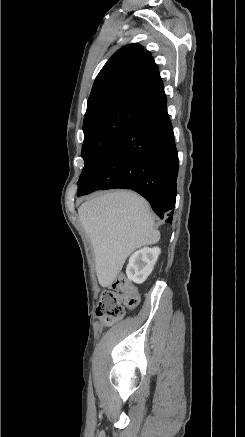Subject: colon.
<instances>
[{
  "mask_svg": "<svg viewBox=\"0 0 245 437\" xmlns=\"http://www.w3.org/2000/svg\"><path fill=\"white\" fill-rule=\"evenodd\" d=\"M139 301L138 290L126 277L120 276L102 294L96 314L106 325H111L122 317L124 308L133 309Z\"/></svg>",
  "mask_w": 245,
  "mask_h": 437,
  "instance_id": "obj_1",
  "label": "colon"
}]
</instances>
